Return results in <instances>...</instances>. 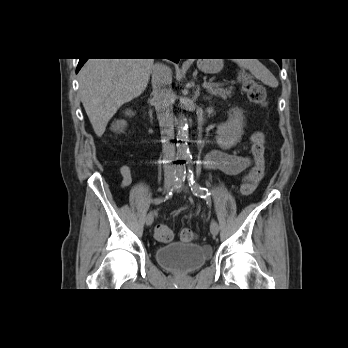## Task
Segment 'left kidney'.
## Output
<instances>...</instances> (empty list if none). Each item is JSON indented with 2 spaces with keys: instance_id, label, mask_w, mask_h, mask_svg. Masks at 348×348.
Wrapping results in <instances>:
<instances>
[{
  "instance_id": "left-kidney-1",
  "label": "left kidney",
  "mask_w": 348,
  "mask_h": 348,
  "mask_svg": "<svg viewBox=\"0 0 348 348\" xmlns=\"http://www.w3.org/2000/svg\"><path fill=\"white\" fill-rule=\"evenodd\" d=\"M243 113L239 109H232L229 112L227 122L220 124L217 127V144L223 150H227L235 146L243 134Z\"/></svg>"
}]
</instances>
